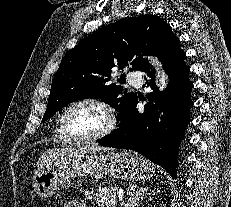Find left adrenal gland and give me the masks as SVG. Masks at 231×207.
<instances>
[{
	"label": "left adrenal gland",
	"mask_w": 231,
	"mask_h": 207,
	"mask_svg": "<svg viewBox=\"0 0 231 207\" xmlns=\"http://www.w3.org/2000/svg\"><path fill=\"white\" fill-rule=\"evenodd\" d=\"M148 188H140V190H135L134 187L128 188L126 192V200L122 201L121 206L123 207H129L135 204L137 201H139L140 198H143V196L147 195Z\"/></svg>",
	"instance_id": "left-adrenal-gland-1"
}]
</instances>
